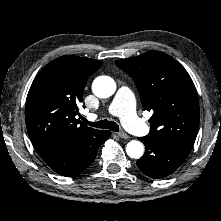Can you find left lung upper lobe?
Wrapping results in <instances>:
<instances>
[{
  "instance_id": "left-lung-upper-lobe-1",
  "label": "left lung upper lobe",
  "mask_w": 221,
  "mask_h": 221,
  "mask_svg": "<svg viewBox=\"0 0 221 221\" xmlns=\"http://www.w3.org/2000/svg\"><path fill=\"white\" fill-rule=\"evenodd\" d=\"M115 63L134 79L143 109L153 113L148 136L192 148L200 111L195 86L184 67L160 51Z\"/></svg>"
}]
</instances>
